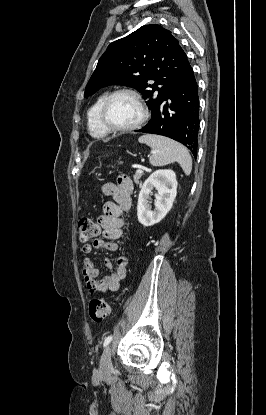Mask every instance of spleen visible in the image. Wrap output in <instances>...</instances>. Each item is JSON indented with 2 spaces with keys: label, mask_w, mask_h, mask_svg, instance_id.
Here are the masks:
<instances>
[{
  "label": "spleen",
  "mask_w": 266,
  "mask_h": 415,
  "mask_svg": "<svg viewBox=\"0 0 266 415\" xmlns=\"http://www.w3.org/2000/svg\"><path fill=\"white\" fill-rule=\"evenodd\" d=\"M138 141L145 143L151 148L153 152L149 159L151 165L160 167L177 162L185 175H190L192 158L189 151L180 143L164 136L152 134L142 135Z\"/></svg>",
  "instance_id": "1"
}]
</instances>
